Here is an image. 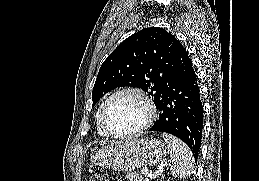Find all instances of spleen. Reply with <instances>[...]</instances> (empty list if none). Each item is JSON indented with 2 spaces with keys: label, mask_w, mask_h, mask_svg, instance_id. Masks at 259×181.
<instances>
[{
  "label": "spleen",
  "mask_w": 259,
  "mask_h": 181,
  "mask_svg": "<svg viewBox=\"0 0 259 181\" xmlns=\"http://www.w3.org/2000/svg\"><path fill=\"white\" fill-rule=\"evenodd\" d=\"M162 137L167 143L171 174L177 178L190 176L193 173L194 158L189 147L171 134L163 133Z\"/></svg>",
  "instance_id": "obj_1"
}]
</instances>
